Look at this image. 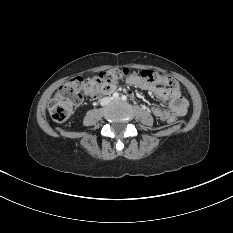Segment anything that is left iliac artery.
Returning a JSON list of instances; mask_svg holds the SVG:
<instances>
[{"label":"left iliac artery","mask_w":233,"mask_h":233,"mask_svg":"<svg viewBox=\"0 0 233 233\" xmlns=\"http://www.w3.org/2000/svg\"><path fill=\"white\" fill-rule=\"evenodd\" d=\"M122 100L126 101L127 100V96L123 95L122 96Z\"/></svg>","instance_id":"obj_1"}]
</instances>
